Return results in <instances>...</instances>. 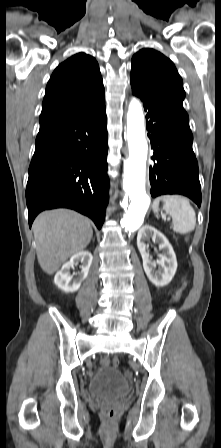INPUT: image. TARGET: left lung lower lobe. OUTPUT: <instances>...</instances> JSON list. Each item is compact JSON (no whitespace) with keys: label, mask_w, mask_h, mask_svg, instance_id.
Here are the masks:
<instances>
[{"label":"left lung lower lobe","mask_w":221,"mask_h":448,"mask_svg":"<svg viewBox=\"0 0 221 448\" xmlns=\"http://www.w3.org/2000/svg\"><path fill=\"white\" fill-rule=\"evenodd\" d=\"M147 130L154 150L150 167L151 196L182 194L201 205L198 163L190 127L163 110L143 102Z\"/></svg>","instance_id":"obj_1"}]
</instances>
